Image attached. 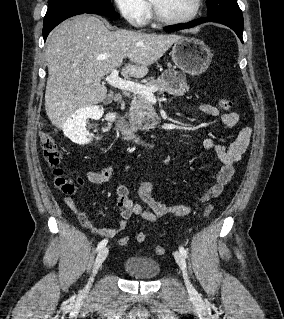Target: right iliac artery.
Instances as JSON below:
<instances>
[{"instance_id":"obj_1","label":"right iliac artery","mask_w":284,"mask_h":319,"mask_svg":"<svg viewBox=\"0 0 284 319\" xmlns=\"http://www.w3.org/2000/svg\"><path fill=\"white\" fill-rule=\"evenodd\" d=\"M107 242H108L107 239L102 240V241L98 244L96 251L101 250L103 247H105L106 244H107Z\"/></svg>"}]
</instances>
